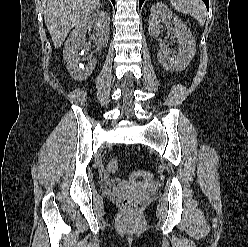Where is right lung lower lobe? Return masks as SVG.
<instances>
[{"label":"right lung lower lobe","instance_id":"1","mask_svg":"<svg viewBox=\"0 0 248 247\" xmlns=\"http://www.w3.org/2000/svg\"><path fill=\"white\" fill-rule=\"evenodd\" d=\"M111 2L113 3V5L115 6V0H111Z\"/></svg>","mask_w":248,"mask_h":247}]
</instances>
